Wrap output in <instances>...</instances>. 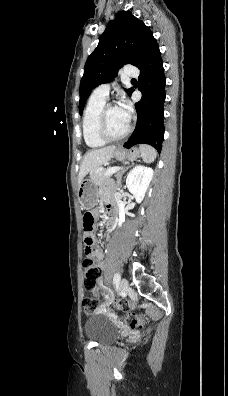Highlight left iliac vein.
I'll use <instances>...</instances> for the list:
<instances>
[{"instance_id": "1", "label": "left iliac vein", "mask_w": 228, "mask_h": 396, "mask_svg": "<svg viewBox=\"0 0 228 396\" xmlns=\"http://www.w3.org/2000/svg\"><path fill=\"white\" fill-rule=\"evenodd\" d=\"M128 288V280L126 278H122L119 282V291L123 292Z\"/></svg>"}]
</instances>
